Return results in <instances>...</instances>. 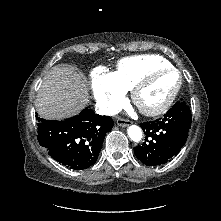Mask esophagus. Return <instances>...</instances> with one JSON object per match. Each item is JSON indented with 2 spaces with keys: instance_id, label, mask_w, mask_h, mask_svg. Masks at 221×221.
<instances>
[{
  "instance_id": "34e87169",
  "label": "esophagus",
  "mask_w": 221,
  "mask_h": 221,
  "mask_svg": "<svg viewBox=\"0 0 221 221\" xmlns=\"http://www.w3.org/2000/svg\"><path fill=\"white\" fill-rule=\"evenodd\" d=\"M117 125L120 127H127L130 125V121L126 119L119 118L116 121Z\"/></svg>"
}]
</instances>
